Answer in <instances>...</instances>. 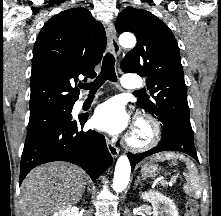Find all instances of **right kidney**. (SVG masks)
<instances>
[{
	"label": "right kidney",
	"mask_w": 221,
	"mask_h": 216,
	"mask_svg": "<svg viewBox=\"0 0 221 216\" xmlns=\"http://www.w3.org/2000/svg\"><path fill=\"white\" fill-rule=\"evenodd\" d=\"M52 216H79V210L77 207H68L66 209L59 210Z\"/></svg>",
	"instance_id": "right-kidney-1"
}]
</instances>
